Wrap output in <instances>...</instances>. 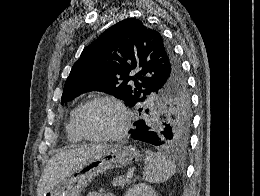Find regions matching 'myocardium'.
Segmentation results:
<instances>
[{
	"mask_svg": "<svg viewBox=\"0 0 260 196\" xmlns=\"http://www.w3.org/2000/svg\"><path fill=\"white\" fill-rule=\"evenodd\" d=\"M99 102H105L114 105L122 115V124L116 131L112 133L102 135V136L90 135L85 131V129L82 126L81 123L82 115L87 108ZM130 125H131V116L125 104L117 97L112 95H106V94L96 95L88 99L80 106L75 116V126L78 132L80 133L83 139L92 142H110V141H115L117 139H120L123 136H125Z\"/></svg>",
	"mask_w": 260,
	"mask_h": 196,
	"instance_id": "obj_1",
	"label": "myocardium"
}]
</instances>
